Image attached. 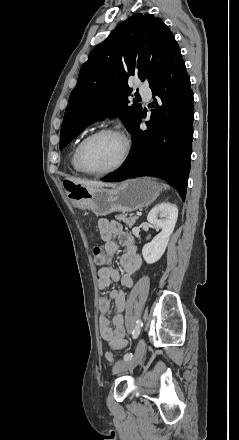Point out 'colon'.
<instances>
[{"label": "colon", "mask_w": 239, "mask_h": 440, "mask_svg": "<svg viewBox=\"0 0 239 440\" xmlns=\"http://www.w3.org/2000/svg\"><path fill=\"white\" fill-rule=\"evenodd\" d=\"M93 257H94V262L97 265H102L105 262V257L100 247H95L93 249ZM105 359L108 362H113L114 354L111 351H107L105 353Z\"/></svg>", "instance_id": "5ec220e1"}]
</instances>
